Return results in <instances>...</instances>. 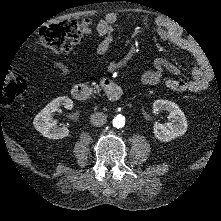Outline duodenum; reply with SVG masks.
I'll return each instance as SVG.
<instances>
[{
  "label": "duodenum",
  "instance_id": "duodenum-1",
  "mask_svg": "<svg viewBox=\"0 0 221 221\" xmlns=\"http://www.w3.org/2000/svg\"><path fill=\"white\" fill-rule=\"evenodd\" d=\"M103 90L107 96V98L112 101L116 102L122 98L123 91L119 85L114 83L111 80H104L102 83ZM71 96L73 99L77 101H85L88 96L89 92L87 87L83 84H77L72 87L71 89Z\"/></svg>",
  "mask_w": 221,
  "mask_h": 221
}]
</instances>
